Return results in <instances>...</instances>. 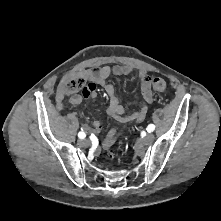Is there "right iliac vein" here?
Segmentation results:
<instances>
[{
  "label": "right iliac vein",
  "mask_w": 221,
  "mask_h": 221,
  "mask_svg": "<svg viewBox=\"0 0 221 221\" xmlns=\"http://www.w3.org/2000/svg\"><path fill=\"white\" fill-rule=\"evenodd\" d=\"M79 145L82 147H88L90 146V141L88 139L80 140Z\"/></svg>",
  "instance_id": "right-iliac-vein-1"
}]
</instances>
